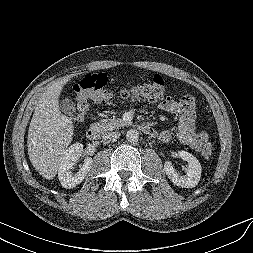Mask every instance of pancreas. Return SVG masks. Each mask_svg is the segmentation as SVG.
<instances>
[{"mask_svg":"<svg viewBox=\"0 0 253 253\" xmlns=\"http://www.w3.org/2000/svg\"><path fill=\"white\" fill-rule=\"evenodd\" d=\"M128 122H125L122 119H103L96 123V125L99 127V130L102 134L107 133L108 131H112L116 128L123 127L128 125Z\"/></svg>","mask_w":253,"mask_h":253,"instance_id":"1","label":"pancreas"}]
</instances>
